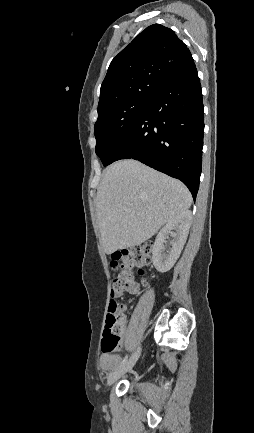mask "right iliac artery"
Wrapping results in <instances>:
<instances>
[{"mask_svg":"<svg viewBox=\"0 0 254 433\" xmlns=\"http://www.w3.org/2000/svg\"><path fill=\"white\" fill-rule=\"evenodd\" d=\"M127 359H128V356L126 355V356L124 357V359L122 360V362L120 363V365H119L118 368L122 367V366L127 362Z\"/></svg>","mask_w":254,"mask_h":433,"instance_id":"1","label":"right iliac artery"}]
</instances>
